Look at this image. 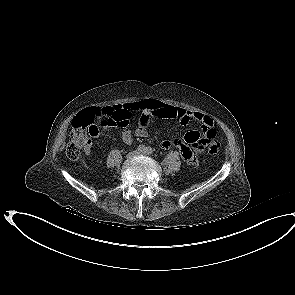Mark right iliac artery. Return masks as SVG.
I'll use <instances>...</instances> for the list:
<instances>
[{"label":"right iliac artery","instance_id":"obj_1","mask_svg":"<svg viewBox=\"0 0 295 295\" xmlns=\"http://www.w3.org/2000/svg\"><path fill=\"white\" fill-rule=\"evenodd\" d=\"M146 150V148H145V146L144 145H139V147H138V151H145Z\"/></svg>","mask_w":295,"mask_h":295}]
</instances>
